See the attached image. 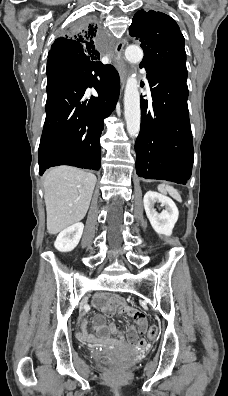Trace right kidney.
Returning a JSON list of instances; mask_svg holds the SVG:
<instances>
[{"mask_svg": "<svg viewBox=\"0 0 228 396\" xmlns=\"http://www.w3.org/2000/svg\"><path fill=\"white\" fill-rule=\"evenodd\" d=\"M83 229L84 224L81 222L64 229L56 238L54 243L55 248L60 252L72 251L78 245Z\"/></svg>", "mask_w": 228, "mask_h": 396, "instance_id": "ca27d5eb", "label": "right kidney"}]
</instances>
